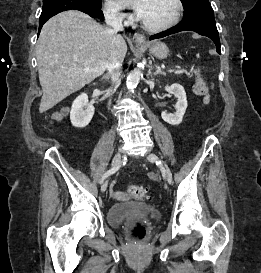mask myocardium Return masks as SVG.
<instances>
[{
	"label": "myocardium",
	"instance_id": "1",
	"mask_svg": "<svg viewBox=\"0 0 261 273\" xmlns=\"http://www.w3.org/2000/svg\"><path fill=\"white\" fill-rule=\"evenodd\" d=\"M172 2L175 6V12L173 14V17L168 22L158 26H151L141 21L142 28L145 29L146 31L157 33V32L165 31L173 27L175 24H177L182 16L184 7L181 0H172Z\"/></svg>",
	"mask_w": 261,
	"mask_h": 273
}]
</instances>
